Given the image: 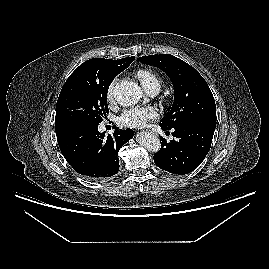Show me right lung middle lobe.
Listing matches in <instances>:
<instances>
[{
    "mask_svg": "<svg viewBox=\"0 0 269 269\" xmlns=\"http://www.w3.org/2000/svg\"><path fill=\"white\" fill-rule=\"evenodd\" d=\"M111 82L72 73L58 98L55 124L102 122L109 112L107 93Z\"/></svg>",
    "mask_w": 269,
    "mask_h": 269,
    "instance_id": "dd1d6c3e",
    "label": "right lung middle lobe"
}]
</instances>
